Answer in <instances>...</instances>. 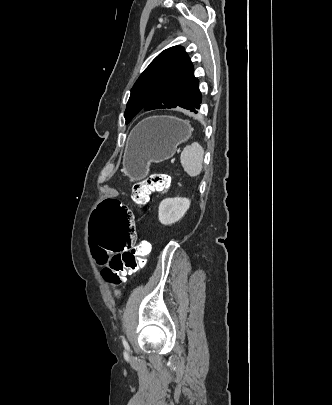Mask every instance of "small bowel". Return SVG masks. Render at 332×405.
Masks as SVG:
<instances>
[{"instance_id": "small-bowel-1", "label": "small bowel", "mask_w": 332, "mask_h": 405, "mask_svg": "<svg viewBox=\"0 0 332 405\" xmlns=\"http://www.w3.org/2000/svg\"><path fill=\"white\" fill-rule=\"evenodd\" d=\"M134 220V219H133ZM134 227H135V221H134ZM103 259H113L114 257H102Z\"/></svg>"}]
</instances>
